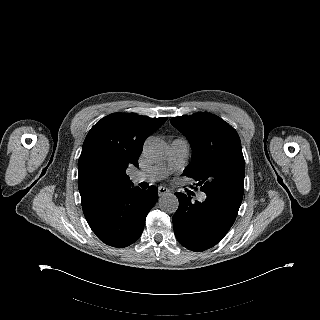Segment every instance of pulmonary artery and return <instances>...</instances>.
<instances>
[{"mask_svg":"<svg viewBox=\"0 0 320 320\" xmlns=\"http://www.w3.org/2000/svg\"><path fill=\"white\" fill-rule=\"evenodd\" d=\"M188 142L184 138H175L171 141L170 152L166 163L151 167L144 171H138L132 176L133 182H155L167 177L175 169L179 168L185 162L188 155ZM206 198L205 193H200L198 199L203 201Z\"/></svg>","mask_w":320,"mask_h":320,"instance_id":"1","label":"pulmonary artery"}]
</instances>
